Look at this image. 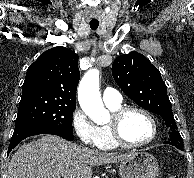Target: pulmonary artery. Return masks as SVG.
I'll return each mask as SVG.
<instances>
[{"mask_svg":"<svg viewBox=\"0 0 194 178\" xmlns=\"http://www.w3.org/2000/svg\"><path fill=\"white\" fill-rule=\"evenodd\" d=\"M102 99L106 105H117L122 101L120 93L116 89L110 87L104 89Z\"/></svg>","mask_w":194,"mask_h":178,"instance_id":"e3ab8cb5","label":"pulmonary artery"}]
</instances>
